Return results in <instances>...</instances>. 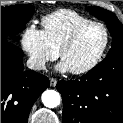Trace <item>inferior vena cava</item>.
Segmentation results:
<instances>
[{"label":"inferior vena cava","instance_id":"602c4592","mask_svg":"<svg viewBox=\"0 0 123 123\" xmlns=\"http://www.w3.org/2000/svg\"><path fill=\"white\" fill-rule=\"evenodd\" d=\"M27 67L31 70H44L45 67V60L40 58H33L30 57L27 60Z\"/></svg>","mask_w":123,"mask_h":123}]
</instances>
